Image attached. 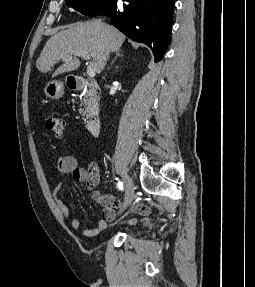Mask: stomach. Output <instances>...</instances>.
<instances>
[{"label":"stomach","mask_w":255,"mask_h":287,"mask_svg":"<svg viewBox=\"0 0 255 287\" xmlns=\"http://www.w3.org/2000/svg\"><path fill=\"white\" fill-rule=\"evenodd\" d=\"M64 90V82L53 80V82H48L46 88H44V94L47 98H50V100H59V98H62Z\"/></svg>","instance_id":"obj_1"}]
</instances>
